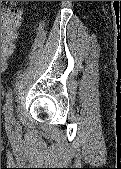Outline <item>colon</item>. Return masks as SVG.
<instances>
[{
    "mask_svg": "<svg viewBox=\"0 0 121 169\" xmlns=\"http://www.w3.org/2000/svg\"><path fill=\"white\" fill-rule=\"evenodd\" d=\"M22 21V11L8 7L1 15V68H7V62L14 51L18 28ZM1 69V71H2Z\"/></svg>",
    "mask_w": 121,
    "mask_h": 169,
    "instance_id": "colon-1",
    "label": "colon"
}]
</instances>
